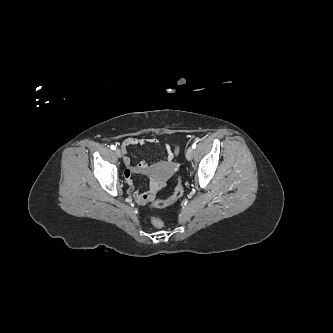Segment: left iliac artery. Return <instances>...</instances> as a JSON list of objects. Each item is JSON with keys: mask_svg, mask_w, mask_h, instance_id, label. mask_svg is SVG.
Instances as JSON below:
<instances>
[{"mask_svg": "<svg viewBox=\"0 0 333 333\" xmlns=\"http://www.w3.org/2000/svg\"><path fill=\"white\" fill-rule=\"evenodd\" d=\"M192 148H193V149L196 148V142H194V143L192 144Z\"/></svg>", "mask_w": 333, "mask_h": 333, "instance_id": "left-iliac-artery-1", "label": "left iliac artery"}]
</instances>
